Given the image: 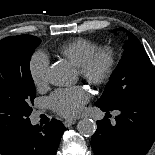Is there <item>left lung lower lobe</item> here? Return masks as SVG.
Segmentation results:
<instances>
[{
	"label": "left lung lower lobe",
	"mask_w": 155,
	"mask_h": 155,
	"mask_svg": "<svg viewBox=\"0 0 155 155\" xmlns=\"http://www.w3.org/2000/svg\"><path fill=\"white\" fill-rule=\"evenodd\" d=\"M103 111L117 109L113 125L104 118L97 122L91 147L95 155H145L155 140V93L142 94Z\"/></svg>",
	"instance_id": "1"
}]
</instances>
